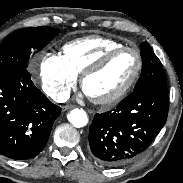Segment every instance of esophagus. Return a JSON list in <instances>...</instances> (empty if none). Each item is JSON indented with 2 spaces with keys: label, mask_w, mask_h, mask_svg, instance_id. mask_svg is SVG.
Here are the masks:
<instances>
[{
  "label": "esophagus",
  "mask_w": 183,
  "mask_h": 183,
  "mask_svg": "<svg viewBox=\"0 0 183 183\" xmlns=\"http://www.w3.org/2000/svg\"><path fill=\"white\" fill-rule=\"evenodd\" d=\"M72 108H74L73 105H65V106L62 107V111H66V110H69V109H72Z\"/></svg>",
  "instance_id": "obj_1"
}]
</instances>
